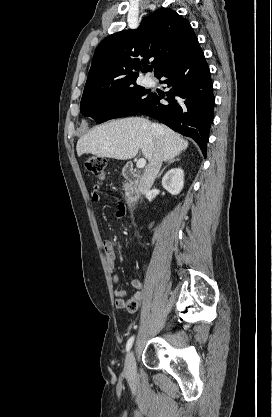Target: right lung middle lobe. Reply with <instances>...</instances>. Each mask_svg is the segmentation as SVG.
I'll return each instance as SVG.
<instances>
[{"label":"right lung middle lobe","instance_id":"obj_1","mask_svg":"<svg viewBox=\"0 0 272 417\" xmlns=\"http://www.w3.org/2000/svg\"><path fill=\"white\" fill-rule=\"evenodd\" d=\"M151 97L152 93L138 85L112 92L83 94L80 111L99 124L110 119L135 115Z\"/></svg>","mask_w":272,"mask_h":417}]
</instances>
